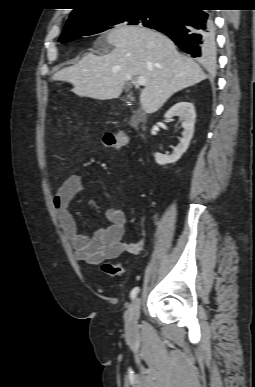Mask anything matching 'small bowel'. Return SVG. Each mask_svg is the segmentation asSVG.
Segmentation results:
<instances>
[{"label":"small bowel","instance_id":"c3829d8e","mask_svg":"<svg viewBox=\"0 0 255 387\" xmlns=\"http://www.w3.org/2000/svg\"><path fill=\"white\" fill-rule=\"evenodd\" d=\"M82 187L81 178L71 174L57 189L53 207L58 223L75 252V257L90 265L119 257L124 253L138 254L144 247V239L126 242L125 226L127 216L121 208H109L105 212L108 224L98 226L92 236L78 231L76 222L69 211V205Z\"/></svg>","mask_w":255,"mask_h":387}]
</instances>
